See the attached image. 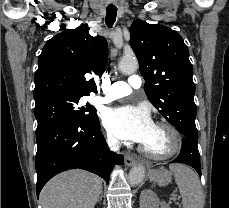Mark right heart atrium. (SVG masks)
<instances>
[{
    "label": "right heart atrium",
    "instance_id": "right-heart-atrium-1",
    "mask_svg": "<svg viewBox=\"0 0 229 208\" xmlns=\"http://www.w3.org/2000/svg\"><path fill=\"white\" fill-rule=\"evenodd\" d=\"M106 140H107V143L112 147L119 145V141L114 136H112L110 134L107 135Z\"/></svg>",
    "mask_w": 229,
    "mask_h": 208
}]
</instances>
